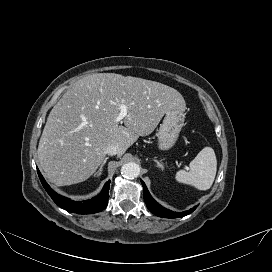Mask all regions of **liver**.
I'll return each mask as SVG.
<instances>
[{
	"mask_svg": "<svg viewBox=\"0 0 272 272\" xmlns=\"http://www.w3.org/2000/svg\"><path fill=\"white\" fill-rule=\"evenodd\" d=\"M121 103L128 107L125 126L115 122ZM185 108L182 95L159 82L115 73L86 76L52 108L38 145L40 167L59 186L85 181L104 161L108 145L122 156L167 111Z\"/></svg>",
	"mask_w": 272,
	"mask_h": 272,
	"instance_id": "1",
	"label": "liver"
}]
</instances>
